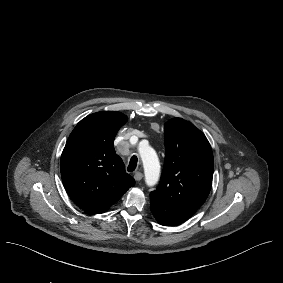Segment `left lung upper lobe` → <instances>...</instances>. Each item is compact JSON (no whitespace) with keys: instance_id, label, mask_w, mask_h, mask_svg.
Here are the masks:
<instances>
[{"instance_id":"5c2ea615","label":"left lung upper lobe","mask_w":283,"mask_h":283,"mask_svg":"<svg viewBox=\"0 0 283 283\" xmlns=\"http://www.w3.org/2000/svg\"><path fill=\"white\" fill-rule=\"evenodd\" d=\"M165 161L159 187L150 193L167 204L197 210L212 185L214 159L205 135L174 118L165 124Z\"/></svg>"}]
</instances>
